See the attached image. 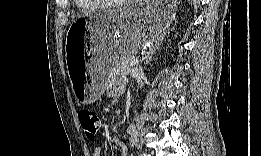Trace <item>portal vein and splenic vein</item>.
Instances as JSON below:
<instances>
[{
    "label": "portal vein and splenic vein",
    "instance_id": "1",
    "mask_svg": "<svg viewBox=\"0 0 261 156\" xmlns=\"http://www.w3.org/2000/svg\"><path fill=\"white\" fill-rule=\"evenodd\" d=\"M138 63H139V59L133 58V59L128 63V65H129V66H134V65H136V64H138Z\"/></svg>",
    "mask_w": 261,
    "mask_h": 156
}]
</instances>
